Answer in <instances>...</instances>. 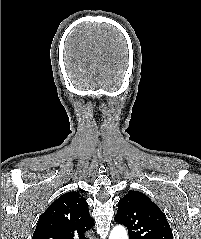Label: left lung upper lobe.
<instances>
[{"label":"left lung upper lobe","instance_id":"left-lung-upper-lobe-1","mask_svg":"<svg viewBox=\"0 0 201 239\" xmlns=\"http://www.w3.org/2000/svg\"><path fill=\"white\" fill-rule=\"evenodd\" d=\"M115 221L127 227L129 239H173L163 212L139 191H130L118 202Z\"/></svg>","mask_w":201,"mask_h":239}]
</instances>
